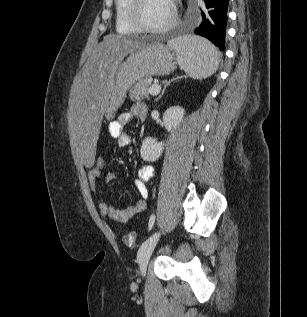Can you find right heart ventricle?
I'll return each mask as SVG.
<instances>
[{
  "label": "right heart ventricle",
  "instance_id": "1",
  "mask_svg": "<svg viewBox=\"0 0 307 317\" xmlns=\"http://www.w3.org/2000/svg\"><path fill=\"white\" fill-rule=\"evenodd\" d=\"M129 5L130 0H115V28L120 35H132L138 33L129 19Z\"/></svg>",
  "mask_w": 307,
  "mask_h": 317
}]
</instances>
